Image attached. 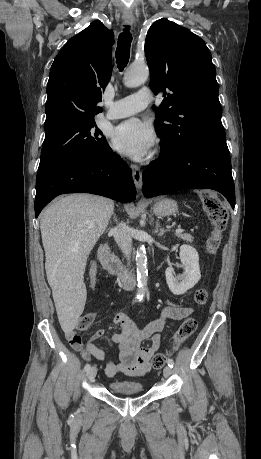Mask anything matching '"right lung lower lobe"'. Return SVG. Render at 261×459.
Segmentation results:
<instances>
[{
    "instance_id": "obj_1",
    "label": "right lung lower lobe",
    "mask_w": 261,
    "mask_h": 459,
    "mask_svg": "<svg viewBox=\"0 0 261 459\" xmlns=\"http://www.w3.org/2000/svg\"><path fill=\"white\" fill-rule=\"evenodd\" d=\"M64 193H92L119 202L136 197L129 166L109 146L100 156L71 160L37 177L35 217Z\"/></svg>"
}]
</instances>
